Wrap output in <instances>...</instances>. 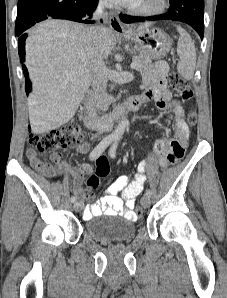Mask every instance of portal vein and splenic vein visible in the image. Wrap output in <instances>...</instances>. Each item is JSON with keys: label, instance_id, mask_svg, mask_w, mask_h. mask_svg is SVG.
I'll return each instance as SVG.
<instances>
[{"label": "portal vein and splenic vein", "instance_id": "18ae733b", "mask_svg": "<svg viewBox=\"0 0 227 298\" xmlns=\"http://www.w3.org/2000/svg\"><path fill=\"white\" fill-rule=\"evenodd\" d=\"M137 66H138L137 62L133 60L131 63V69H136Z\"/></svg>", "mask_w": 227, "mask_h": 298}]
</instances>
